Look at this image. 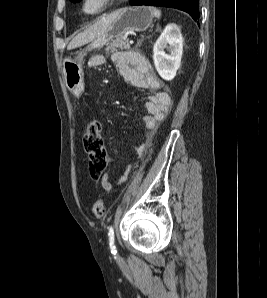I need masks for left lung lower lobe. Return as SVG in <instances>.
Listing matches in <instances>:
<instances>
[{
	"label": "left lung lower lobe",
	"mask_w": 267,
	"mask_h": 298,
	"mask_svg": "<svg viewBox=\"0 0 267 298\" xmlns=\"http://www.w3.org/2000/svg\"><path fill=\"white\" fill-rule=\"evenodd\" d=\"M130 5L134 6H162L185 11L197 21L199 14V0H131Z\"/></svg>",
	"instance_id": "obj_1"
}]
</instances>
